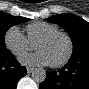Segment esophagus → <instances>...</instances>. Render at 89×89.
<instances>
[{
    "mask_svg": "<svg viewBox=\"0 0 89 89\" xmlns=\"http://www.w3.org/2000/svg\"><path fill=\"white\" fill-rule=\"evenodd\" d=\"M26 70H27V73H32L34 71V68L33 67H27Z\"/></svg>",
    "mask_w": 89,
    "mask_h": 89,
    "instance_id": "34e87169",
    "label": "esophagus"
}]
</instances>
